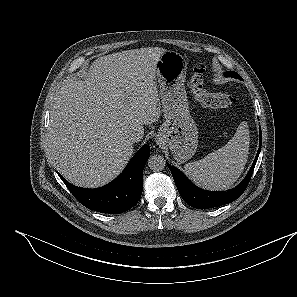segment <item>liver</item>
Listing matches in <instances>:
<instances>
[{
	"instance_id": "liver-1",
	"label": "liver",
	"mask_w": 297,
	"mask_h": 297,
	"mask_svg": "<svg viewBox=\"0 0 297 297\" xmlns=\"http://www.w3.org/2000/svg\"><path fill=\"white\" fill-rule=\"evenodd\" d=\"M166 49L147 47L96 59L83 80L57 93L50 113L48 148L58 172L86 188L116 178L134 149L127 136L160 118L155 67Z\"/></svg>"
}]
</instances>
